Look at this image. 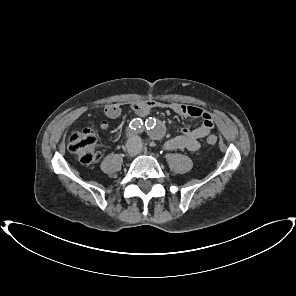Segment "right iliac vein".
<instances>
[{"label": "right iliac vein", "mask_w": 296, "mask_h": 296, "mask_svg": "<svg viewBox=\"0 0 296 296\" xmlns=\"http://www.w3.org/2000/svg\"><path fill=\"white\" fill-rule=\"evenodd\" d=\"M126 153L129 155V156H133L135 154V150L133 148L132 145H127V148H126Z\"/></svg>", "instance_id": "right-iliac-vein-1"}]
</instances>
